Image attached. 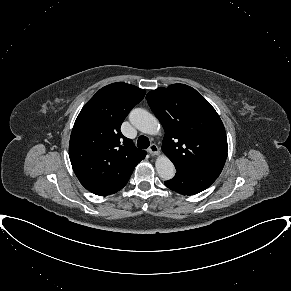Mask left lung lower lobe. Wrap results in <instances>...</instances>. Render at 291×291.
<instances>
[{"mask_svg": "<svg viewBox=\"0 0 291 291\" xmlns=\"http://www.w3.org/2000/svg\"><path fill=\"white\" fill-rule=\"evenodd\" d=\"M176 171L175 177L165 181V185L183 195H194L207 189L219 176V174L212 172L180 167H176Z\"/></svg>", "mask_w": 291, "mask_h": 291, "instance_id": "left-lung-lower-lobe-1", "label": "left lung lower lobe"}]
</instances>
